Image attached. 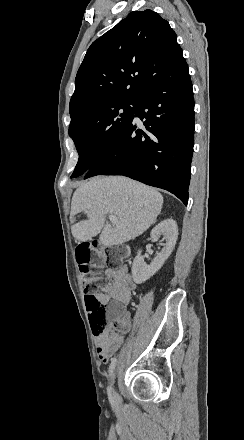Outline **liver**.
<instances>
[{"instance_id":"obj_1","label":"liver","mask_w":244,"mask_h":440,"mask_svg":"<svg viewBox=\"0 0 244 440\" xmlns=\"http://www.w3.org/2000/svg\"><path fill=\"white\" fill-rule=\"evenodd\" d=\"M163 206V198L154 188L124 176H96L77 188L71 202L70 222L73 238L87 242L100 234L103 246H119L141 236L154 224ZM84 212L88 220L76 222ZM106 214L116 216L114 226L105 224Z\"/></svg>"}]
</instances>
